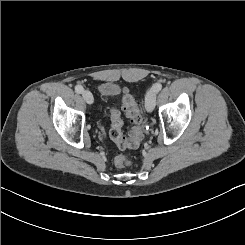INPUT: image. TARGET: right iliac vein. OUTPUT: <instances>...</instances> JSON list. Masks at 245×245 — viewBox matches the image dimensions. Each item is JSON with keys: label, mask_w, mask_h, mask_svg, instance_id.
I'll list each match as a JSON object with an SVG mask.
<instances>
[{"label": "right iliac vein", "mask_w": 245, "mask_h": 245, "mask_svg": "<svg viewBox=\"0 0 245 245\" xmlns=\"http://www.w3.org/2000/svg\"><path fill=\"white\" fill-rule=\"evenodd\" d=\"M82 95L84 97V100L88 103V104H92L94 99H93V95L90 91L85 90L82 92Z\"/></svg>", "instance_id": "1"}]
</instances>
